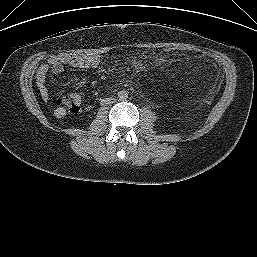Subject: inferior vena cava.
<instances>
[{
	"mask_svg": "<svg viewBox=\"0 0 257 257\" xmlns=\"http://www.w3.org/2000/svg\"><path fill=\"white\" fill-rule=\"evenodd\" d=\"M108 101L110 102V101H111V99H108ZM109 102H108V103H109Z\"/></svg>",
	"mask_w": 257,
	"mask_h": 257,
	"instance_id": "inferior-vena-cava-1",
	"label": "inferior vena cava"
}]
</instances>
